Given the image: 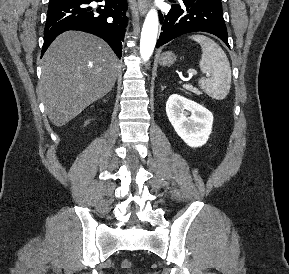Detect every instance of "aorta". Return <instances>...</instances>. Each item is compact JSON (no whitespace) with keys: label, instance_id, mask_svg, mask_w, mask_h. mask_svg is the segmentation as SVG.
<instances>
[{"label":"aorta","instance_id":"obj_1","mask_svg":"<svg viewBox=\"0 0 289 274\" xmlns=\"http://www.w3.org/2000/svg\"><path fill=\"white\" fill-rule=\"evenodd\" d=\"M158 25L159 21L157 11L151 9L145 18L141 32L140 55L144 61H148L154 51Z\"/></svg>","mask_w":289,"mask_h":274}]
</instances>
